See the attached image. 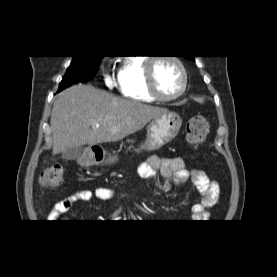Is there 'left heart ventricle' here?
Here are the masks:
<instances>
[{"instance_id": "left-heart-ventricle-1", "label": "left heart ventricle", "mask_w": 277, "mask_h": 277, "mask_svg": "<svg viewBox=\"0 0 277 277\" xmlns=\"http://www.w3.org/2000/svg\"><path fill=\"white\" fill-rule=\"evenodd\" d=\"M154 76L158 91L164 96H172L182 87L179 67L172 61L160 59L154 64Z\"/></svg>"}]
</instances>
